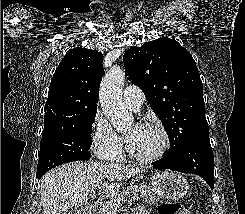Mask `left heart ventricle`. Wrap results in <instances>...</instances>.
Listing matches in <instances>:
<instances>
[{
    "label": "left heart ventricle",
    "instance_id": "b2bd125f",
    "mask_svg": "<svg viewBox=\"0 0 245 214\" xmlns=\"http://www.w3.org/2000/svg\"><path fill=\"white\" fill-rule=\"evenodd\" d=\"M123 132L128 147L138 155H152L156 153L162 145V136L156 129L129 124L125 127Z\"/></svg>",
    "mask_w": 245,
    "mask_h": 214
}]
</instances>
